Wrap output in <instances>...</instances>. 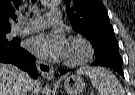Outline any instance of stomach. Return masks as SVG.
<instances>
[{
    "label": "stomach",
    "mask_w": 135,
    "mask_h": 95,
    "mask_svg": "<svg viewBox=\"0 0 135 95\" xmlns=\"http://www.w3.org/2000/svg\"><path fill=\"white\" fill-rule=\"evenodd\" d=\"M85 86L84 79L78 74H72L64 79V90L68 95H80Z\"/></svg>",
    "instance_id": "obj_1"
}]
</instances>
